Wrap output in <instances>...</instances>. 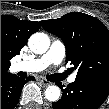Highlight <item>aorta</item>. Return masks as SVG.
<instances>
[{
    "mask_svg": "<svg viewBox=\"0 0 109 109\" xmlns=\"http://www.w3.org/2000/svg\"><path fill=\"white\" fill-rule=\"evenodd\" d=\"M28 46L36 54H43L48 51L50 39L44 33H34L28 40ZM61 95L60 88L56 85L48 86L45 91V97L51 102L58 101Z\"/></svg>",
    "mask_w": 109,
    "mask_h": 109,
    "instance_id": "762f6f07",
    "label": "aorta"
}]
</instances>
